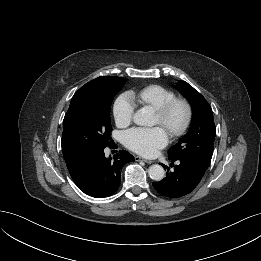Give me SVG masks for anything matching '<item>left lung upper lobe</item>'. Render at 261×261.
Returning <instances> with one entry per match:
<instances>
[{"instance_id": "1", "label": "left lung upper lobe", "mask_w": 261, "mask_h": 261, "mask_svg": "<svg viewBox=\"0 0 261 261\" xmlns=\"http://www.w3.org/2000/svg\"><path fill=\"white\" fill-rule=\"evenodd\" d=\"M177 88L192 105V122L188 133L168 151L172 159H186L206 171L212 158L216 128L212 109L205 98L184 81Z\"/></svg>"}]
</instances>
